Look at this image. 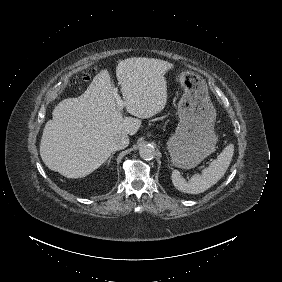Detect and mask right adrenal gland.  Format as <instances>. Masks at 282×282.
I'll use <instances>...</instances> for the list:
<instances>
[{
  "label": "right adrenal gland",
  "mask_w": 282,
  "mask_h": 282,
  "mask_svg": "<svg viewBox=\"0 0 282 282\" xmlns=\"http://www.w3.org/2000/svg\"><path fill=\"white\" fill-rule=\"evenodd\" d=\"M115 153H116V151L112 150L109 159L106 160L109 164H111L112 158H113V156H114Z\"/></svg>",
  "instance_id": "obj_1"
}]
</instances>
